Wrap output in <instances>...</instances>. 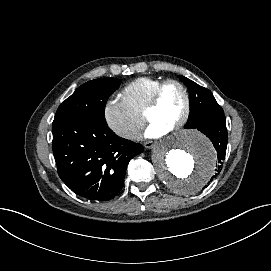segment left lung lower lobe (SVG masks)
I'll return each instance as SVG.
<instances>
[{
	"label": "left lung lower lobe",
	"instance_id": "left-lung-lower-lobe-1",
	"mask_svg": "<svg viewBox=\"0 0 271 271\" xmlns=\"http://www.w3.org/2000/svg\"><path fill=\"white\" fill-rule=\"evenodd\" d=\"M197 129L212 141L213 146L217 151L216 173L210 179V183L221 171L228 143L226 119L223 109L220 108L209 112L201 121Z\"/></svg>",
	"mask_w": 271,
	"mask_h": 271
}]
</instances>
